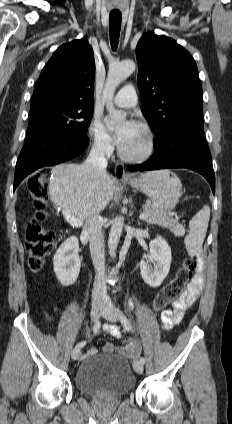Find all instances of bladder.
I'll list each match as a JSON object with an SVG mask.
<instances>
[{
	"label": "bladder",
	"instance_id": "bladder-1",
	"mask_svg": "<svg viewBox=\"0 0 232 424\" xmlns=\"http://www.w3.org/2000/svg\"><path fill=\"white\" fill-rule=\"evenodd\" d=\"M75 384L85 394L119 397L133 390L136 379L125 358L96 355L80 364Z\"/></svg>",
	"mask_w": 232,
	"mask_h": 424
}]
</instances>
